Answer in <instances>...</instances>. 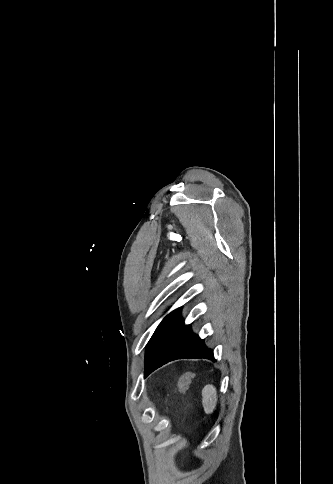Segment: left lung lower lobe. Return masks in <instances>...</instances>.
<instances>
[{
  "label": "left lung lower lobe",
  "instance_id": "1",
  "mask_svg": "<svg viewBox=\"0 0 333 484\" xmlns=\"http://www.w3.org/2000/svg\"><path fill=\"white\" fill-rule=\"evenodd\" d=\"M181 358L214 360L213 351L192 332L190 325H184L178 308L162 320L147 345L145 377L167 362Z\"/></svg>",
  "mask_w": 333,
  "mask_h": 484
}]
</instances>
